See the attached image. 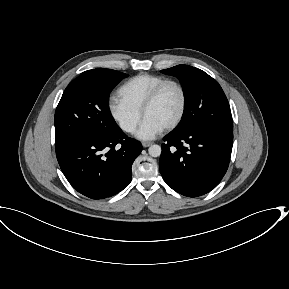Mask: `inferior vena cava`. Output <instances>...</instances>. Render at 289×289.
Returning a JSON list of instances; mask_svg holds the SVG:
<instances>
[{
  "mask_svg": "<svg viewBox=\"0 0 289 289\" xmlns=\"http://www.w3.org/2000/svg\"><path fill=\"white\" fill-rule=\"evenodd\" d=\"M134 130V126H130L129 128H128V131H130V132H132Z\"/></svg>",
  "mask_w": 289,
  "mask_h": 289,
  "instance_id": "inferior-vena-cava-1",
  "label": "inferior vena cava"
}]
</instances>
